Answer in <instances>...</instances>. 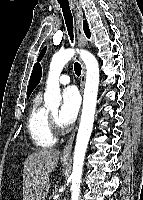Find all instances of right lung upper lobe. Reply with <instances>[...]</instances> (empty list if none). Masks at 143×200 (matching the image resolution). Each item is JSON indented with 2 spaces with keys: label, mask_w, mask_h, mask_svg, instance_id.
Wrapping results in <instances>:
<instances>
[{
  "label": "right lung upper lobe",
  "mask_w": 143,
  "mask_h": 200,
  "mask_svg": "<svg viewBox=\"0 0 143 200\" xmlns=\"http://www.w3.org/2000/svg\"><path fill=\"white\" fill-rule=\"evenodd\" d=\"M83 28H84V32L86 36L90 37L89 29L85 21L83 22ZM41 72H42V69H41L40 64L36 63L33 67V71L30 77L28 91H27V98L31 95L32 91L34 90L36 85L39 83L41 79Z\"/></svg>",
  "instance_id": "obj_1"
}]
</instances>
